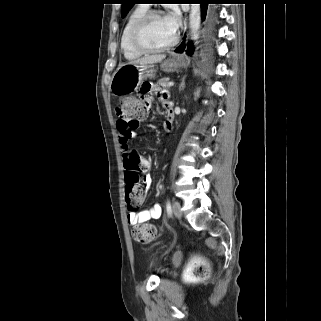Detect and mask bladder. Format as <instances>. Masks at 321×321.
<instances>
[{
    "label": "bladder",
    "instance_id": "31cf9c89",
    "mask_svg": "<svg viewBox=\"0 0 321 321\" xmlns=\"http://www.w3.org/2000/svg\"><path fill=\"white\" fill-rule=\"evenodd\" d=\"M150 264H151V265H154V262H153V261H150Z\"/></svg>",
    "mask_w": 321,
    "mask_h": 321
}]
</instances>
